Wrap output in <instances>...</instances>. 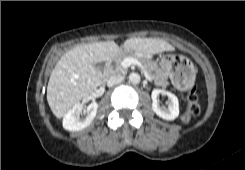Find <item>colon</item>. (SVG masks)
<instances>
[{
  "instance_id": "colon-1",
  "label": "colon",
  "mask_w": 245,
  "mask_h": 170,
  "mask_svg": "<svg viewBox=\"0 0 245 170\" xmlns=\"http://www.w3.org/2000/svg\"><path fill=\"white\" fill-rule=\"evenodd\" d=\"M192 70V64L189 60L178 57L173 67V81L176 85L180 86L188 79ZM200 104L197 95L195 94L193 87L189 86L187 94V107L186 111L181 115L180 120L187 122L191 117L200 114Z\"/></svg>"
}]
</instances>
